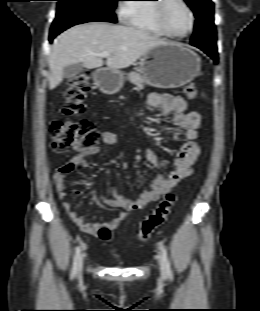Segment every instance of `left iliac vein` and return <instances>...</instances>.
<instances>
[{
  "instance_id": "4c4485c4",
  "label": "left iliac vein",
  "mask_w": 260,
  "mask_h": 311,
  "mask_svg": "<svg viewBox=\"0 0 260 311\" xmlns=\"http://www.w3.org/2000/svg\"><path fill=\"white\" fill-rule=\"evenodd\" d=\"M157 258H158V262H159V267H160L161 273L163 275H165V263H164V260H163L161 255H158Z\"/></svg>"
}]
</instances>
